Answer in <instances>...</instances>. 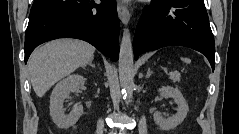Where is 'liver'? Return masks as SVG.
I'll return each mask as SVG.
<instances>
[{"instance_id": "liver-1", "label": "liver", "mask_w": 239, "mask_h": 134, "mask_svg": "<svg viewBox=\"0 0 239 134\" xmlns=\"http://www.w3.org/2000/svg\"><path fill=\"white\" fill-rule=\"evenodd\" d=\"M94 52L89 43L67 38L34 50L28 60V71L36 95L42 97L60 79L89 64Z\"/></svg>"}]
</instances>
